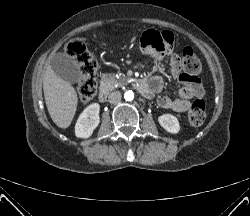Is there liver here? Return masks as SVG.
Masks as SVG:
<instances>
[{"label": "liver", "mask_w": 250, "mask_h": 216, "mask_svg": "<svg viewBox=\"0 0 250 216\" xmlns=\"http://www.w3.org/2000/svg\"><path fill=\"white\" fill-rule=\"evenodd\" d=\"M44 97L53 122L60 128L70 126L78 103L74 87L55 74L48 65L43 80Z\"/></svg>", "instance_id": "1"}]
</instances>
